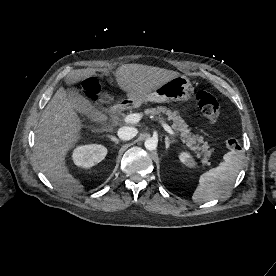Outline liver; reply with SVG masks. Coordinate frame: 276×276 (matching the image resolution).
<instances>
[{
	"mask_svg": "<svg viewBox=\"0 0 276 276\" xmlns=\"http://www.w3.org/2000/svg\"><path fill=\"white\" fill-rule=\"evenodd\" d=\"M94 75V72H83L69 78L66 84H75ZM178 75L175 71L141 64L122 65L115 73L119 88L127 96L147 92ZM82 123L67 91L60 87L45 107L36 130L34 151L40 170L57 188L68 193L83 191L65 162L68 151L81 138Z\"/></svg>",
	"mask_w": 276,
	"mask_h": 276,
	"instance_id": "liver-1",
	"label": "liver"
}]
</instances>
